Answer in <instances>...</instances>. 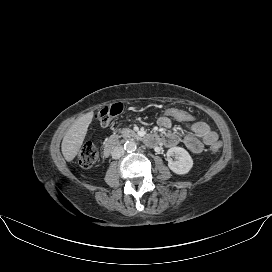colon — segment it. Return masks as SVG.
I'll list each match as a JSON object with an SVG mask.
<instances>
[{"instance_id":"colon-1","label":"colon","mask_w":272,"mask_h":272,"mask_svg":"<svg viewBox=\"0 0 272 272\" xmlns=\"http://www.w3.org/2000/svg\"><path fill=\"white\" fill-rule=\"evenodd\" d=\"M124 110V106L121 103H115L112 105H108L100 109L95 118L102 124H108L115 116L122 113ZM162 116L167 117L169 119H175L179 122H190L195 120V116L183 109L179 108H167L162 112ZM220 143L215 142L211 145L210 150L213 153H216L220 149ZM99 151L95 144L92 142H86L78 155V162L80 166L84 168L91 167L96 160L98 159Z\"/></svg>"}]
</instances>
